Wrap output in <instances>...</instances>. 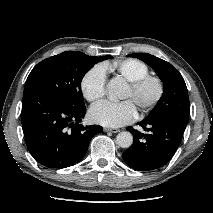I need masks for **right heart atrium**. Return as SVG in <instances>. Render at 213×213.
<instances>
[{
    "mask_svg": "<svg viewBox=\"0 0 213 213\" xmlns=\"http://www.w3.org/2000/svg\"><path fill=\"white\" fill-rule=\"evenodd\" d=\"M107 75L102 65L88 69L81 79V91L84 98L91 103L100 100L106 92Z\"/></svg>",
    "mask_w": 213,
    "mask_h": 213,
    "instance_id": "right-heart-atrium-1",
    "label": "right heart atrium"
}]
</instances>
